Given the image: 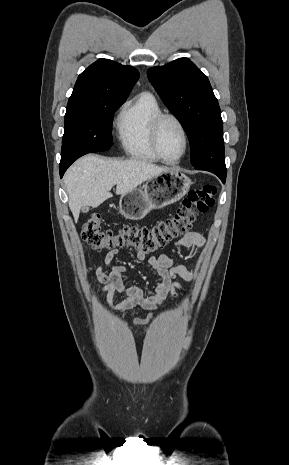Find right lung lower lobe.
<instances>
[{
	"label": "right lung lower lobe",
	"mask_w": 289,
	"mask_h": 465,
	"mask_svg": "<svg viewBox=\"0 0 289 465\" xmlns=\"http://www.w3.org/2000/svg\"><path fill=\"white\" fill-rule=\"evenodd\" d=\"M76 159H72L69 161H61L59 170H60V177L62 178L63 174L65 173L66 169L75 161Z\"/></svg>",
	"instance_id": "right-lung-lower-lobe-1"
}]
</instances>
